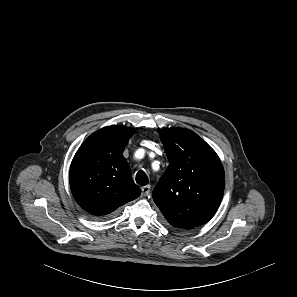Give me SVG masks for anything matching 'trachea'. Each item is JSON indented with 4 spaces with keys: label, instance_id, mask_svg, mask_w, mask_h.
I'll list each match as a JSON object with an SVG mask.
<instances>
[{
    "label": "trachea",
    "instance_id": "3493384b",
    "mask_svg": "<svg viewBox=\"0 0 297 297\" xmlns=\"http://www.w3.org/2000/svg\"><path fill=\"white\" fill-rule=\"evenodd\" d=\"M136 182L141 186H145L148 184V178L143 170H140L136 174Z\"/></svg>",
    "mask_w": 297,
    "mask_h": 297
}]
</instances>
